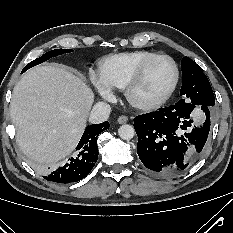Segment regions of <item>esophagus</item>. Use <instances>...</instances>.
Instances as JSON below:
<instances>
[{"instance_id":"obj_1","label":"esophagus","mask_w":233,"mask_h":233,"mask_svg":"<svg viewBox=\"0 0 233 233\" xmlns=\"http://www.w3.org/2000/svg\"><path fill=\"white\" fill-rule=\"evenodd\" d=\"M127 121H128V117L125 116V115L120 116V117L118 118V120H117V122H118L119 124H124V123H126Z\"/></svg>"}]
</instances>
